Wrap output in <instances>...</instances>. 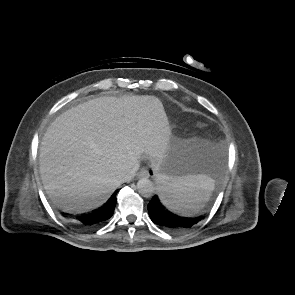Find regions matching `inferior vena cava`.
<instances>
[{"mask_svg":"<svg viewBox=\"0 0 295 295\" xmlns=\"http://www.w3.org/2000/svg\"><path fill=\"white\" fill-rule=\"evenodd\" d=\"M137 169H138L137 166H135L132 169H130L127 172V174L123 177V181H129V180H131L135 176V173H136Z\"/></svg>","mask_w":295,"mask_h":295,"instance_id":"inferior-vena-cava-1","label":"inferior vena cava"}]
</instances>
